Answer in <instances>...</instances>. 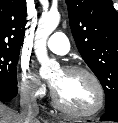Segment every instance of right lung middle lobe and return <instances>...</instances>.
I'll list each match as a JSON object with an SVG mask.
<instances>
[{
	"label": "right lung middle lobe",
	"mask_w": 118,
	"mask_h": 123,
	"mask_svg": "<svg viewBox=\"0 0 118 123\" xmlns=\"http://www.w3.org/2000/svg\"><path fill=\"white\" fill-rule=\"evenodd\" d=\"M18 50L0 48V86H17L16 65L19 59Z\"/></svg>",
	"instance_id": "right-lung-middle-lobe-1"
}]
</instances>
